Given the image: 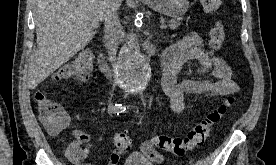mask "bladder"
Wrapping results in <instances>:
<instances>
[{
	"label": "bladder",
	"instance_id": "31cf9c89",
	"mask_svg": "<svg viewBox=\"0 0 276 165\" xmlns=\"http://www.w3.org/2000/svg\"><path fill=\"white\" fill-rule=\"evenodd\" d=\"M123 165H153V163L142 155L132 154L126 159Z\"/></svg>",
	"mask_w": 276,
	"mask_h": 165
}]
</instances>
